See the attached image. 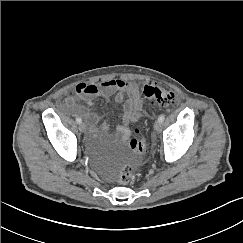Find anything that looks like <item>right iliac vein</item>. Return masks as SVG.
<instances>
[{
	"mask_svg": "<svg viewBox=\"0 0 243 243\" xmlns=\"http://www.w3.org/2000/svg\"><path fill=\"white\" fill-rule=\"evenodd\" d=\"M79 130L81 131V132H85L86 131V125H85V123H80V125H79Z\"/></svg>",
	"mask_w": 243,
	"mask_h": 243,
	"instance_id": "63e3f726",
	"label": "right iliac vein"
}]
</instances>
